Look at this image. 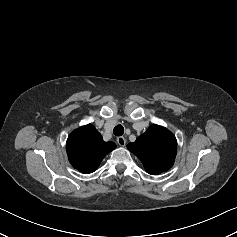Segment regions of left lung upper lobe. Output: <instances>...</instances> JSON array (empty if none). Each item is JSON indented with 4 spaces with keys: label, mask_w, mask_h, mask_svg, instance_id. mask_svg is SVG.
Instances as JSON below:
<instances>
[{
    "label": "left lung upper lobe",
    "mask_w": 237,
    "mask_h": 237,
    "mask_svg": "<svg viewBox=\"0 0 237 237\" xmlns=\"http://www.w3.org/2000/svg\"><path fill=\"white\" fill-rule=\"evenodd\" d=\"M127 148L141 160L149 174L157 175L172 167L177 140L165 127L154 124Z\"/></svg>",
    "instance_id": "5c2ea615"
}]
</instances>
